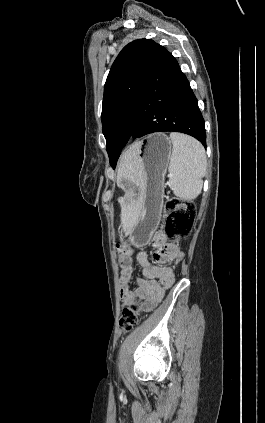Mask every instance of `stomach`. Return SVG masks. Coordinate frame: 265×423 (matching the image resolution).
Here are the masks:
<instances>
[{"instance_id": "stomach-1", "label": "stomach", "mask_w": 265, "mask_h": 423, "mask_svg": "<svg viewBox=\"0 0 265 423\" xmlns=\"http://www.w3.org/2000/svg\"><path fill=\"white\" fill-rule=\"evenodd\" d=\"M138 143L136 161L142 170L141 183L136 185L141 204L139 216L129 232L132 245H146L157 229L163 210L164 177L170 163L172 142L164 133L146 136Z\"/></svg>"}]
</instances>
